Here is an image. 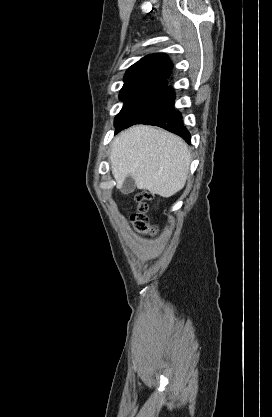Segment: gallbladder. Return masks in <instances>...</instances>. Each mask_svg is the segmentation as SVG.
Masks as SVG:
<instances>
[{
	"label": "gallbladder",
	"instance_id": "gallbladder-1",
	"mask_svg": "<svg viewBox=\"0 0 272 417\" xmlns=\"http://www.w3.org/2000/svg\"><path fill=\"white\" fill-rule=\"evenodd\" d=\"M135 181L131 176H127L122 184L121 192L124 194H129L135 189Z\"/></svg>",
	"mask_w": 272,
	"mask_h": 417
}]
</instances>
